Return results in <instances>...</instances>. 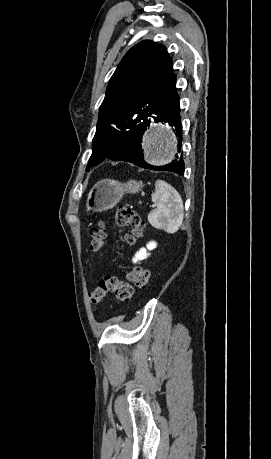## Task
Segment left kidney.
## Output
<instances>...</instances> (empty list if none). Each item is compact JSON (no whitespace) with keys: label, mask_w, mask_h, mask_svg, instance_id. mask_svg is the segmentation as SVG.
<instances>
[{"label":"left kidney","mask_w":271,"mask_h":459,"mask_svg":"<svg viewBox=\"0 0 271 459\" xmlns=\"http://www.w3.org/2000/svg\"><path fill=\"white\" fill-rule=\"evenodd\" d=\"M156 245H157L156 241H149V243H147L146 247H147V249H154V247H156ZM147 249H145V247H141V249H139V251H137V253H135V255L133 257L134 263H136V261H141V259H146V257H148V255H150V253H148Z\"/></svg>","instance_id":"1"}]
</instances>
